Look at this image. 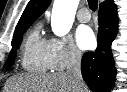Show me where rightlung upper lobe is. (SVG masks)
Wrapping results in <instances>:
<instances>
[{
	"instance_id": "obj_1",
	"label": "right lung upper lobe",
	"mask_w": 127,
	"mask_h": 92,
	"mask_svg": "<svg viewBox=\"0 0 127 92\" xmlns=\"http://www.w3.org/2000/svg\"><path fill=\"white\" fill-rule=\"evenodd\" d=\"M51 0H31L25 8L15 32L30 26L49 6ZM101 4H114L113 0H106ZM100 4V5H101Z\"/></svg>"
}]
</instances>
